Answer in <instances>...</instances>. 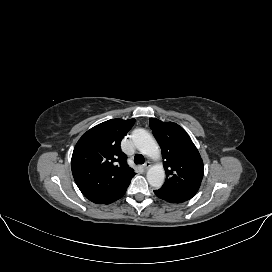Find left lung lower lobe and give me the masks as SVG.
Instances as JSON below:
<instances>
[{
  "label": "left lung lower lobe",
  "mask_w": 272,
  "mask_h": 272,
  "mask_svg": "<svg viewBox=\"0 0 272 272\" xmlns=\"http://www.w3.org/2000/svg\"><path fill=\"white\" fill-rule=\"evenodd\" d=\"M154 193L156 194L157 197L171 203H182L192 198V196L167 192L161 189L155 190Z\"/></svg>",
  "instance_id": "left-lung-lower-lobe-1"
}]
</instances>
